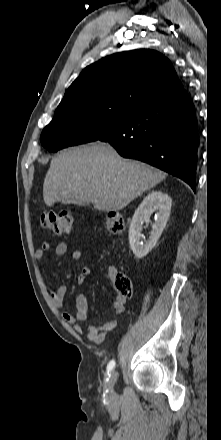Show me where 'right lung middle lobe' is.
Returning a JSON list of instances; mask_svg holds the SVG:
<instances>
[{"instance_id": "right-lung-middle-lobe-1", "label": "right lung middle lobe", "mask_w": 221, "mask_h": 440, "mask_svg": "<svg viewBox=\"0 0 221 440\" xmlns=\"http://www.w3.org/2000/svg\"><path fill=\"white\" fill-rule=\"evenodd\" d=\"M135 109L123 104L98 101L75 102L56 109L43 129L40 141L48 151L96 141L116 128Z\"/></svg>"}]
</instances>
